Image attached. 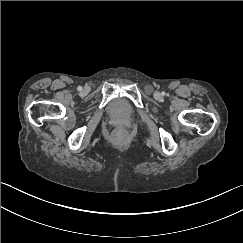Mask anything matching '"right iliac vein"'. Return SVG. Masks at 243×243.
<instances>
[{
	"label": "right iliac vein",
	"instance_id": "right-iliac-vein-1",
	"mask_svg": "<svg viewBox=\"0 0 243 243\" xmlns=\"http://www.w3.org/2000/svg\"><path fill=\"white\" fill-rule=\"evenodd\" d=\"M82 92H83V93H86V90L84 89Z\"/></svg>",
	"mask_w": 243,
	"mask_h": 243
}]
</instances>
